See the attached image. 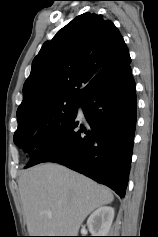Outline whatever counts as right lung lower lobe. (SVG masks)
<instances>
[{"label": "right lung lower lobe", "mask_w": 158, "mask_h": 237, "mask_svg": "<svg viewBox=\"0 0 158 237\" xmlns=\"http://www.w3.org/2000/svg\"><path fill=\"white\" fill-rule=\"evenodd\" d=\"M75 115L43 142L25 168L56 162L114 190L121 198L128 184L136 126V92L131 67L90 91Z\"/></svg>", "instance_id": "1"}]
</instances>
